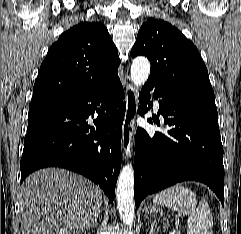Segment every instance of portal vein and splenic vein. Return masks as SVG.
Wrapping results in <instances>:
<instances>
[{"instance_id": "18ae733b", "label": "portal vein and splenic vein", "mask_w": 241, "mask_h": 234, "mask_svg": "<svg viewBox=\"0 0 241 234\" xmlns=\"http://www.w3.org/2000/svg\"><path fill=\"white\" fill-rule=\"evenodd\" d=\"M169 234H175V232H170Z\"/></svg>"}]
</instances>
